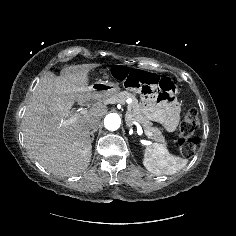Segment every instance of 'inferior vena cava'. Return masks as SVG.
Masks as SVG:
<instances>
[{
  "mask_svg": "<svg viewBox=\"0 0 236 236\" xmlns=\"http://www.w3.org/2000/svg\"><path fill=\"white\" fill-rule=\"evenodd\" d=\"M100 126V119H90L87 123V127L92 130H97Z\"/></svg>",
  "mask_w": 236,
  "mask_h": 236,
  "instance_id": "602c4592",
  "label": "inferior vena cava"
}]
</instances>
